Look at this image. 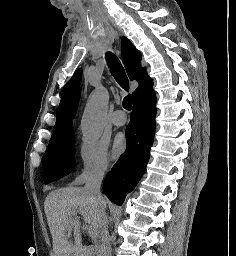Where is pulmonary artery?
<instances>
[{"label": "pulmonary artery", "mask_w": 236, "mask_h": 256, "mask_svg": "<svg viewBox=\"0 0 236 256\" xmlns=\"http://www.w3.org/2000/svg\"><path fill=\"white\" fill-rule=\"evenodd\" d=\"M111 122L115 125V126H123L126 123V119L123 118H118L116 116H112L111 117Z\"/></svg>", "instance_id": "1"}]
</instances>
